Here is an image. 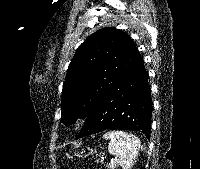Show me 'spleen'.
Here are the masks:
<instances>
[{
    "label": "spleen",
    "instance_id": "obj_1",
    "mask_svg": "<svg viewBox=\"0 0 200 169\" xmlns=\"http://www.w3.org/2000/svg\"><path fill=\"white\" fill-rule=\"evenodd\" d=\"M103 138L110 140L108 151L116 156V160L123 169H130L141 148V142L135 135L124 131H109L103 135Z\"/></svg>",
    "mask_w": 200,
    "mask_h": 169
}]
</instances>
